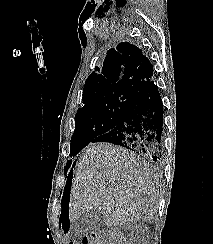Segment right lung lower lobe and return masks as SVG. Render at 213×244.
I'll list each match as a JSON object with an SVG mask.
<instances>
[{
    "label": "right lung lower lobe",
    "mask_w": 213,
    "mask_h": 244,
    "mask_svg": "<svg viewBox=\"0 0 213 244\" xmlns=\"http://www.w3.org/2000/svg\"><path fill=\"white\" fill-rule=\"evenodd\" d=\"M95 142L125 147L147 160L157 162L161 159L163 103L153 80L132 99L118 124L92 141ZM71 180L72 172H69L64 194L69 193Z\"/></svg>",
    "instance_id": "1"
}]
</instances>
